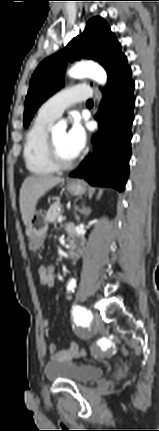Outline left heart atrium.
Returning a JSON list of instances; mask_svg holds the SVG:
<instances>
[{"instance_id": "1", "label": "left heart atrium", "mask_w": 159, "mask_h": 431, "mask_svg": "<svg viewBox=\"0 0 159 431\" xmlns=\"http://www.w3.org/2000/svg\"><path fill=\"white\" fill-rule=\"evenodd\" d=\"M86 141V133L79 122L74 120L71 124L70 129L66 132L65 143L67 149L72 153L74 157H77L82 149L84 148Z\"/></svg>"}]
</instances>
